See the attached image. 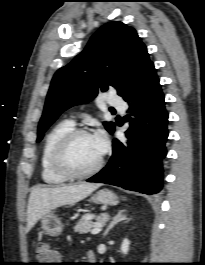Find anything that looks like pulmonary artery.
Segmentation results:
<instances>
[{
	"mask_svg": "<svg viewBox=\"0 0 205 265\" xmlns=\"http://www.w3.org/2000/svg\"><path fill=\"white\" fill-rule=\"evenodd\" d=\"M108 103L110 106L117 108L119 110H124L125 108V103L122 98L115 94H111L108 98Z\"/></svg>",
	"mask_w": 205,
	"mask_h": 265,
	"instance_id": "pulmonary-artery-1",
	"label": "pulmonary artery"
}]
</instances>
